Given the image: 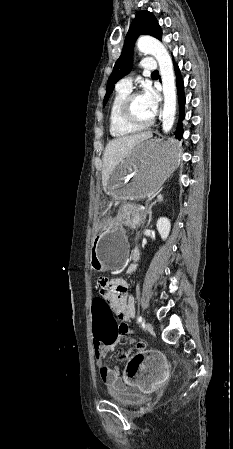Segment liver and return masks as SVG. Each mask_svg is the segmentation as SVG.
I'll return each instance as SVG.
<instances>
[{
  "instance_id": "1",
  "label": "liver",
  "mask_w": 233,
  "mask_h": 449,
  "mask_svg": "<svg viewBox=\"0 0 233 449\" xmlns=\"http://www.w3.org/2000/svg\"><path fill=\"white\" fill-rule=\"evenodd\" d=\"M152 137V132H142L135 135L118 137L110 141L104 151L102 184L107 191L108 180L114 169L124 161L131 151L141 142Z\"/></svg>"
}]
</instances>
